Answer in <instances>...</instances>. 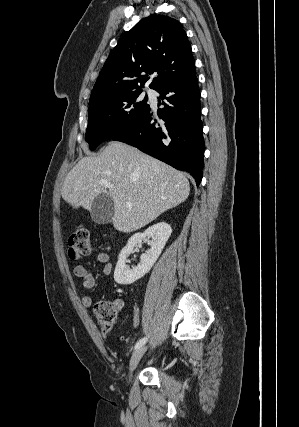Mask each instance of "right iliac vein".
Returning <instances> with one entry per match:
<instances>
[{"mask_svg": "<svg viewBox=\"0 0 299 427\" xmlns=\"http://www.w3.org/2000/svg\"><path fill=\"white\" fill-rule=\"evenodd\" d=\"M146 349H147L146 346H142V347L138 348L134 352V354L132 355V357L130 359V363H129V373H128L129 379L132 377L133 371L136 369L140 359L142 358V356L146 352Z\"/></svg>", "mask_w": 299, "mask_h": 427, "instance_id": "63e3f726", "label": "right iliac vein"}]
</instances>
